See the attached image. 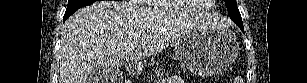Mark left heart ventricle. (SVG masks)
<instances>
[{"label":"left heart ventricle","instance_id":"1","mask_svg":"<svg viewBox=\"0 0 307 83\" xmlns=\"http://www.w3.org/2000/svg\"><path fill=\"white\" fill-rule=\"evenodd\" d=\"M180 1H181L180 3L183 6V8L192 9V8L200 6L199 1L201 0H180Z\"/></svg>","mask_w":307,"mask_h":83}]
</instances>
